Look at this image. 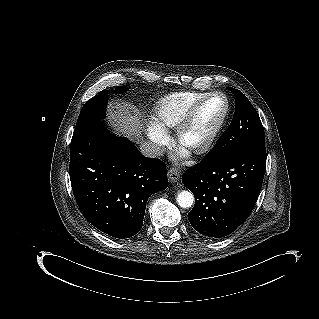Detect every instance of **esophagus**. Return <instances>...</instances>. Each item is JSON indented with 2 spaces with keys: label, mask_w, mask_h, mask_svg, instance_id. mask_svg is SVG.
Segmentation results:
<instances>
[{
  "label": "esophagus",
  "mask_w": 319,
  "mask_h": 319,
  "mask_svg": "<svg viewBox=\"0 0 319 319\" xmlns=\"http://www.w3.org/2000/svg\"><path fill=\"white\" fill-rule=\"evenodd\" d=\"M180 178V171L177 168H170L168 171V179L170 182H177Z\"/></svg>",
  "instance_id": "obj_1"
}]
</instances>
